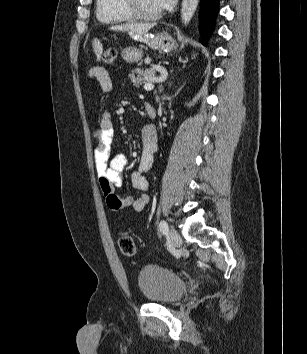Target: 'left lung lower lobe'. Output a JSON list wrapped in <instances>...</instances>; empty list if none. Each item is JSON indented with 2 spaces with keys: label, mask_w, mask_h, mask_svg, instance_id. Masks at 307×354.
Here are the masks:
<instances>
[{
  "label": "left lung lower lobe",
  "mask_w": 307,
  "mask_h": 354,
  "mask_svg": "<svg viewBox=\"0 0 307 354\" xmlns=\"http://www.w3.org/2000/svg\"><path fill=\"white\" fill-rule=\"evenodd\" d=\"M219 11V0H202L200 10L201 42L205 45L213 32L215 19Z\"/></svg>",
  "instance_id": "1"
}]
</instances>
